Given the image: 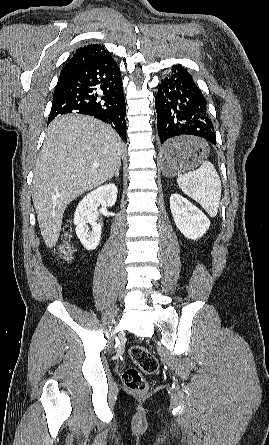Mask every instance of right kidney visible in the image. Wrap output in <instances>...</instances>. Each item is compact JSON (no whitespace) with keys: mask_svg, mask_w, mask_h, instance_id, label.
I'll use <instances>...</instances> for the list:
<instances>
[{"mask_svg":"<svg viewBox=\"0 0 269 445\" xmlns=\"http://www.w3.org/2000/svg\"><path fill=\"white\" fill-rule=\"evenodd\" d=\"M115 184H105L87 194L78 204L74 214L75 231L86 250H94L101 238V225L97 223L94 211L99 205L111 207L117 199ZM91 225V230L88 226Z\"/></svg>","mask_w":269,"mask_h":445,"instance_id":"ca27d5eb","label":"right kidney"}]
</instances>
